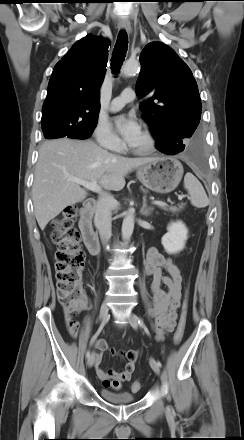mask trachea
<instances>
[{
    "mask_svg": "<svg viewBox=\"0 0 244 440\" xmlns=\"http://www.w3.org/2000/svg\"><path fill=\"white\" fill-rule=\"evenodd\" d=\"M127 48L128 36L127 33L123 30L119 33L117 37L116 44L112 53L111 68L114 74H117L119 72V69L123 64L126 57Z\"/></svg>",
    "mask_w": 244,
    "mask_h": 440,
    "instance_id": "trachea-1",
    "label": "trachea"
}]
</instances>
